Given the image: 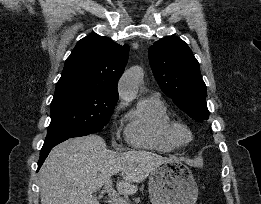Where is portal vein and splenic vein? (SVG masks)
Listing matches in <instances>:
<instances>
[{
  "instance_id": "obj_1",
  "label": "portal vein and splenic vein",
  "mask_w": 261,
  "mask_h": 204,
  "mask_svg": "<svg viewBox=\"0 0 261 204\" xmlns=\"http://www.w3.org/2000/svg\"><path fill=\"white\" fill-rule=\"evenodd\" d=\"M112 180L109 179L105 182L104 192L115 202V204H131L129 201L121 197L112 187Z\"/></svg>"
}]
</instances>
